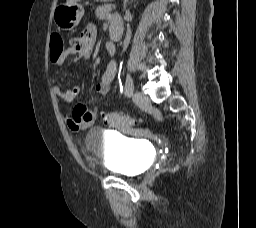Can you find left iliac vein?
<instances>
[{
    "label": "left iliac vein",
    "mask_w": 256,
    "mask_h": 228,
    "mask_svg": "<svg viewBox=\"0 0 256 228\" xmlns=\"http://www.w3.org/2000/svg\"><path fill=\"white\" fill-rule=\"evenodd\" d=\"M133 101L141 108H145L149 105V98L142 92L136 91L133 94Z\"/></svg>",
    "instance_id": "obj_1"
}]
</instances>
